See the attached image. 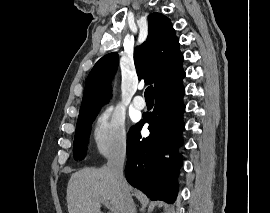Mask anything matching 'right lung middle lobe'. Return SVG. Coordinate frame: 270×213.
I'll list each match as a JSON object with an SVG mask.
<instances>
[{"instance_id":"1","label":"right lung middle lobe","mask_w":270,"mask_h":213,"mask_svg":"<svg viewBox=\"0 0 270 213\" xmlns=\"http://www.w3.org/2000/svg\"><path fill=\"white\" fill-rule=\"evenodd\" d=\"M97 113L84 117L77 121L75 138H74V157L76 160L82 159V155L86 153L87 140L91 128V124Z\"/></svg>"}]
</instances>
